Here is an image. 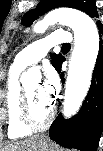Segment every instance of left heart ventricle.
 <instances>
[{
  "instance_id": "left-heart-ventricle-1",
  "label": "left heart ventricle",
  "mask_w": 103,
  "mask_h": 151,
  "mask_svg": "<svg viewBox=\"0 0 103 151\" xmlns=\"http://www.w3.org/2000/svg\"><path fill=\"white\" fill-rule=\"evenodd\" d=\"M30 99L31 112L35 121L43 122L49 115L52 103L45 101L40 93V84L31 82L26 86Z\"/></svg>"
}]
</instances>
